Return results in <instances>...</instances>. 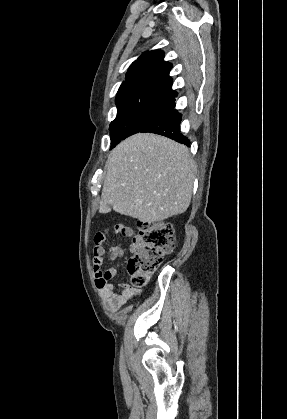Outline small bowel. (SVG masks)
<instances>
[{"label": "small bowel", "mask_w": 287, "mask_h": 419, "mask_svg": "<svg viewBox=\"0 0 287 419\" xmlns=\"http://www.w3.org/2000/svg\"><path fill=\"white\" fill-rule=\"evenodd\" d=\"M115 230L118 234L131 237L133 240L137 238L135 231L125 224H118ZM123 254L122 248L116 245L110 249L109 257L112 260H118L123 257ZM104 255V249L100 244H98L94 248L92 267L95 273L96 287L104 297L108 309L114 313L133 299L135 296V290L127 283H119L116 285L110 283V280L115 278L120 273V270L116 267L103 270L102 264L104 261Z\"/></svg>", "instance_id": "1"}]
</instances>
